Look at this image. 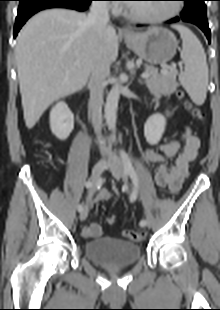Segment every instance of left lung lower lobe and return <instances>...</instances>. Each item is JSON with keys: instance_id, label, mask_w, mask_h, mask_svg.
<instances>
[{"instance_id": "obj_1", "label": "left lung lower lobe", "mask_w": 220, "mask_h": 310, "mask_svg": "<svg viewBox=\"0 0 220 310\" xmlns=\"http://www.w3.org/2000/svg\"><path fill=\"white\" fill-rule=\"evenodd\" d=\"M178 21H183V22H188V23H192L195 24L196 26H198L206 35L208 42H211V32L210 29L208 27V22L205 19H199V18H183L181 17H175L169 21H167V23H175Z\"/></svg>"}]
</instances>
